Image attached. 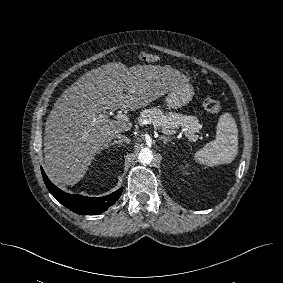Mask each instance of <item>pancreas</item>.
I'll return each instance as SVG.
<instances>
[{"mask_svg": "<svg viewBox=\"0 0 283 283\" xmlns=\"http://www.w3.org/2000/svg\"><path fill=\"white\" fill-rule=\"evenodd\" d=\"M143 121H149L154 128L165 129L167 131H174L175 129H185L190 136L198 133L202 128L196 116H185L179 113H164V111L157 107L144 109L138 118L139 124Z\"/></svg>", "mask_w": 283, "mask_h": 283, "instance_id": "cf45deb5", "label": "pancreas"}]
</instances>
